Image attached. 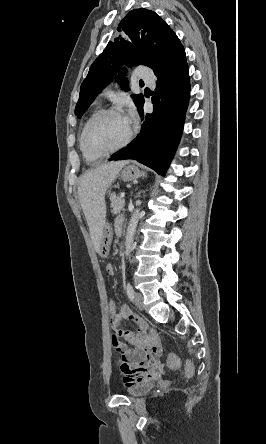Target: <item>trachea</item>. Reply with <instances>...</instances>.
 Instances as JSON below:
<instances>
[{"mask_svg": "<svg viewBox=\"0 0 266 444\" xmlns=\"http://www.w3.org/2000/svg\"><path fill=\"white\" fill-rule=\"evenodd\" d=\"M140 84H144V82H143V81H140Z\"/></svg>", "mask_w": 266, "mask_h": 444, "instance_id": "obj_1", "label": "trachea"}]
</instances>
